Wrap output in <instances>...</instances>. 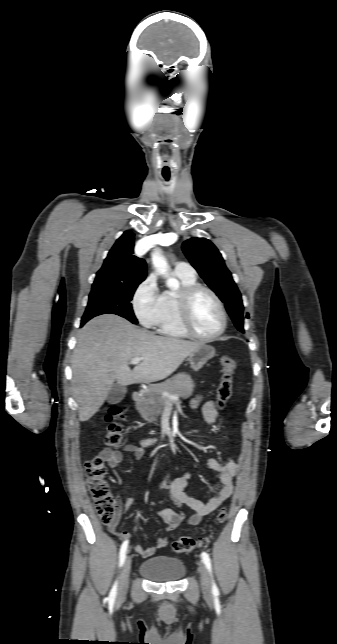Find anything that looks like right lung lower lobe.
Returning a JSON list of instances; mask_svg holds the SVG:
<instances>
[{
  "mask_svg": "<svg viewBox=\"0 0 337 644\" xmlns=\"http://www.w3.org/2000/svg\"><path fill=\"white\" fill-rule=\"evenodd\" d=\"M85 323H81V326H83Z\"/></svg>",
  "mask_w": 337,
  "mask_h": 644,
  "instance_id": "obj_1",
  "label": "right lung lower lobe"
}]
</instances>
